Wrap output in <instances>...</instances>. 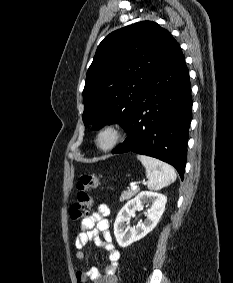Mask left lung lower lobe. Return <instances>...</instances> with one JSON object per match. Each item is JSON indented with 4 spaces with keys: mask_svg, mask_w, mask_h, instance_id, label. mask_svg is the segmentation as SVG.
<instances>
[{
    "mask_svg": "<svg viewBox=\"0 0 233 283\" xmlns=\"http://www.w3.org/2000/svg\"><path fill=\"white\" fill-rule=\"evenodd\" d=\"M191 108L189 71L176 43L147 80L125 127L129 135L112 153L133 151L155 157L173 165L183 179Z\"/></svg>",
    "mask_w": 233,
    "mask_h": 283,
    "instance_id": "left-lung-lower-lobe-1",
    "label": "left lung lower lobe"
}]
</instances>
